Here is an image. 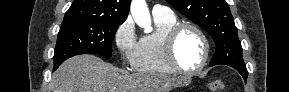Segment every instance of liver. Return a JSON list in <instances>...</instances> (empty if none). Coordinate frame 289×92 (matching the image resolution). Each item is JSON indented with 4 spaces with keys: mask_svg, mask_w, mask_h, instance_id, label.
<instances>
[{
    "mask_svg": "<svg viewBox=\"0 0 289 92\" xmlns=\"http://www.w3.org/2000/svg\"><path fill=\"white\" fill-rule=\"evenodd\" d=\"M185 80L164 75H123L112 64L83 54L65 61L52 75L50 92H170Z\"/></svg>",
    "mask_w": 289,
    "mask_h": 92,
    "instance_id": "6515ba94",
    "label": "liver"
}]
</instances>
